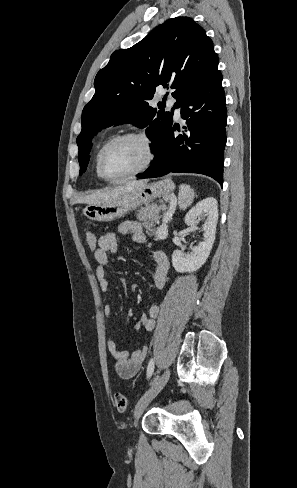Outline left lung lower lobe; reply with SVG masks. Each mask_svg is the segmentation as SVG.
Wrapping results in <instances>:
<instances>
[{"label": "left lung lower lobe", "mask_w": 297, "mask_h": 488, "mask_svg": "<svg viewBox=\"0 0 297 488\" xmlns=\"http://www.w3.org/2000/svg\"><path fill=\"white\" fill-rule=\"evenodd\" d=\"M185 125H172L157 157L139 178L170 172L199 173L223 184L225 127L227 123L222 74L219 71L202 89L181 105ZM178 129L182 134L175 136Z\"/></svg>", "instance_id": "left-lung-lower-lobe-1"}]
</instances>
